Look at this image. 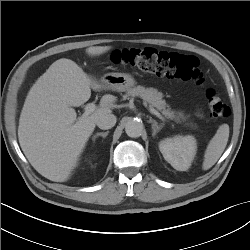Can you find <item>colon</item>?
<instances>
[{
    "label": "colon",
    "instance_id": "1",
    "mask_svg": "<svg viewBox=\"0 0 250 250\" xmlns=\"http://www.w3.org/2000/svg\"><path fill=\"white\" fill-rule=\"evenodd\" d=\"M116 64L130 65L143 72L180 80H192L200 84L203 76L197 58L176 52L158 51L151 48H129L118 50L113 55ZM210 113L224 120L231 110L214 90L206 93Z\"/></svg>",
    "mask_w": 250,
    "mask_h": 250
}]
</instances>
